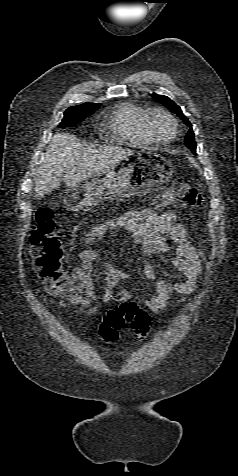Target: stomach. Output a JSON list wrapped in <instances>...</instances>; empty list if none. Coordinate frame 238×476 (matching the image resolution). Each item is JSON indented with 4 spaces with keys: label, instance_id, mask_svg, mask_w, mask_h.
Listing matches in <instances>:
<instances>
[{
    "label": "stomach",
    "instance_id": "obj_1",
    "mask_svg": "<svg viewBox=\"0 0 238 476\" xmlns=\"http://www.w3.org/2000/svg\"><path fill=\"white\" fill-rule=\"evenodd\" d=\"M172 172L167 156L138 151L137 156H126L97 177L68 187L64 203L72 211H85L113 196L151 195Z\"/></svg>",
    "mask_w": 238,
    "mask_h": 476
}]
</instances>
